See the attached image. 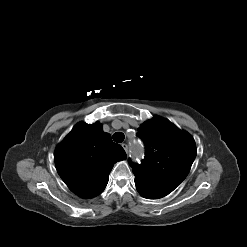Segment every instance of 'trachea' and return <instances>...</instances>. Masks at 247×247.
Segmentation results:
<instances>
[{"instance_id": "3493384b", "label": "trachea", "mask_w": 247, "mask_h": 247, "mask_svg": "<svg viewBox=\"0 0 247 247\" xmlns=\"http://www.w3.org/2000/svg\"><path fill=\"white\" fill-rule=\"evenodd\" d=\"M125 136L122 132H116L113 134V140L117 143H122Z\"/></svg>"}]
</instances>
